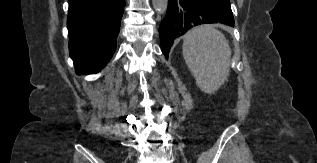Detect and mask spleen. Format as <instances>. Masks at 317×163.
Segmentation results:
<instances>
[{
	"label": "spleen",
	"instance_id": "spleen-1",
	"mask_svg": "<svg viewBox=\"0 0 317 163\" xmlns=\"http://www.w3.org/2000/svg\"><path fill=\"white\" fill-rule=\"evenodd\" d=\"M182 52L197 86L203 92L214 93L227 79L231 50L224 35L212 25L190 30L185 35Z\"/></svg>",
	"mask_w": 317,
	"mask_h": 163
}]
</instances>
